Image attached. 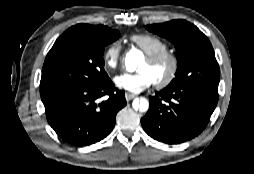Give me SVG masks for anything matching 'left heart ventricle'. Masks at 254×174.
Instances as JSON below:
<instances>
[{"mask_svg": "<svg viewBox=\"0 0 254 174\" xmlns=\"http://www.w3.org/2000/svg\"><path fill=\"white\" fill-rule=\"evenodd\" d=\"M169 62L167 60L161 61L157 64H150L145 59L138 67L139 71L148 72L153 78L154 82L163 80L169 71Z\"/></svg>", "mask_w": 254, "mask_h": 174, "instance_id": "1", "label": "left heart ventricle"}]
</instances>
